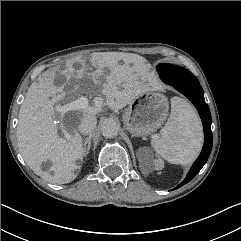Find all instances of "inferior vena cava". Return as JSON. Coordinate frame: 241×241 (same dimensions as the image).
Masks as SVG:
<instances>
[{
  "label": "inferior vena cava",
  "mask_w": 241,
  "mask_h": 241,
  "mask_svg": "<svg viewBox=\"0 0 241 241\" xmlns=\"http://www.w3.org/2000/svg\"><path fill=\"white\" fill-rule=\"evenodd\" d=\"M96 124L97 118L95 115L84 114L78 126V129L81 134L88 135L94 131Z\"/></svg>",
  "instance_id": "obj_1"
}]
</instances>
